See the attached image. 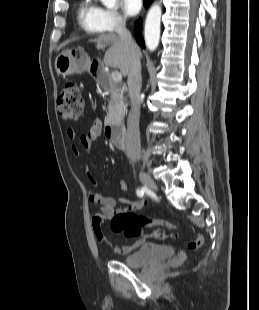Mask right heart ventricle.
Listing matches in <instances>:
<instances>
[{"mask_svg":"<svg viewBox=\"0 0 259 310\" xmlns=\"http://www.w3.org/2000/svg\"><path fill=\"white\" fill-rule=\"evenodd\" d=\"M99 7L94 0H82L78 10V24L88 33L103 31L99 21Z\"/></svg>","mask_w":259,"mask_h":310,"instance_id":"e07e8e85","label":"right heart ventricle"}]
</instances>
